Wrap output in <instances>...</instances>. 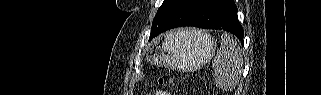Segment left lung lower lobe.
Segmentation results:
<instances>
[{
    "label": "left lung lower lobe",
    "mask_w": 321,
    "mask_h": 95,
    "mask_svg": "<svg viewBox=\"0 0 321 95\" xmlns=\"http://www.w3.org/2000/svg\"><path fill=\"white\" fill-rule=\"evenodd\" d=\"M181 26L226 30L243 41L244 31L238 21L233 0H174L149 40L160 33Z\"/></svg>",
    "instance_id": "1"
}]
</instances>
